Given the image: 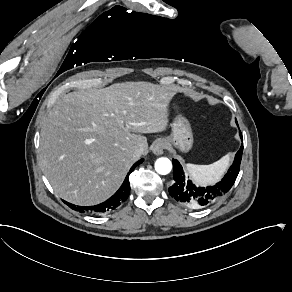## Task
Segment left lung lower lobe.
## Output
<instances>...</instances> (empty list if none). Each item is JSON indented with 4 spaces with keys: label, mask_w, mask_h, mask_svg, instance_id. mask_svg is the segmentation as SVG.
<instances>
[{
    "label": "left lung lower lobe",
    "mask_w": 292,
    "mask_h": 292,
    "mask_svg": "<svg viewBox=\"0 0 292 292\" xmlns=\"http://www.w3.org/2000/svg\"><path fill=\"white\" fill-rule=\"evenodd\" d=\"M242 139V134L240 132ZM243 153V143L235 155L234 162L223 179L214 186L197 187L185 175L180 163L173 159V184L169 194L177 202L188 208H203L220 200L233 186L240 170Z\"/></svg>",
    "instance_id": "obj_1"
}]
</instances>
